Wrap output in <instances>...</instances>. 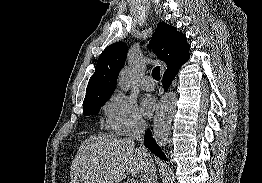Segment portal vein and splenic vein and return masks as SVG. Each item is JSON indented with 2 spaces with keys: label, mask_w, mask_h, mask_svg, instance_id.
<instances>
[{
  "label": "portal vein and splenic vein",
  "mask_w": 262,
  "mask_h": 183,
  "mask_svg": "<svg viewBox=\"0 0 262 183\" xmlns=\"http://www.w3.org/2000/svg\"><path fill=\"white\" fill-rule=\"evenodd\" d=\"M129 183H136V180H135V179H132V180H130Z\"/></svg>",
  "instance_id": "18ae733b"
}]
</instances>
